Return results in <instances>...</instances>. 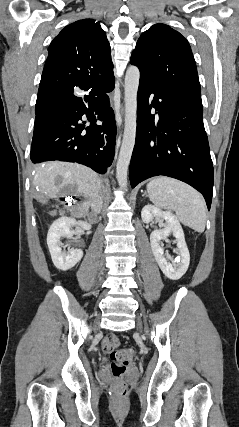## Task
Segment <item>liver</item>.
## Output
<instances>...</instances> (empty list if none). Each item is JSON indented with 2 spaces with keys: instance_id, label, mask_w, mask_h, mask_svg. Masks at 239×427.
I'll return each instance as SVG.
<instances>
[{
  "instance_id": "liver-1",
  "label": "liver",
  "mask_w": 239,
  "mask_h": 427,
  "mask_svg": "<svg viewBox=\"0 0 239 427\" xmlns=\"http://www.w3.org/2000/svg\"><path fill=\"white\" fill-rule=\"evenodd\" d=\"M35 170L34 184L38 188V199L41 202L46 198L62 197L65 188L72 185L75 187V196L83 195L86 198L78 208V215H86L90 206L95 212H99L100 208L95 200L101 183L98 174L92 169L79 164L47 162L38 165Z\"/></svg>"
}]
</instances>
